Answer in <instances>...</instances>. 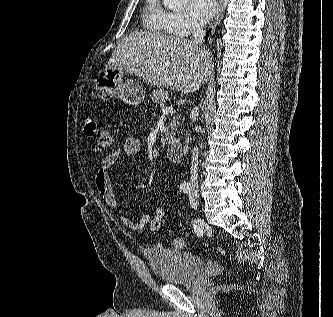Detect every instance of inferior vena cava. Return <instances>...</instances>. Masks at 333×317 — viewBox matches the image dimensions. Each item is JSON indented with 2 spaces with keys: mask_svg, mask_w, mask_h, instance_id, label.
<instances>
[{
  "mask_svg": "<svg viewBox=\"0 0 333 317\" xmlns=\"http://www.w3.org/2000/svg\"><path fill=\"white\" fill-rule=\"evenodd\" d=\"M191 32L193 36L192 42L195 44H199L202 47L206 31L203 29V27L200 24L196 23L193 25ZM193 113L195 114L198 113L197 107L193 108ZM198 153H199L198 148L194 147L192 152L191 178H190L191 188L193 189L198 188Z\"/></svg>",
  "mask_w": 333,
  "mask_h": 317,
  "instance_id": "1",
  "label": "inferior vena cava"
}]
</instances>
